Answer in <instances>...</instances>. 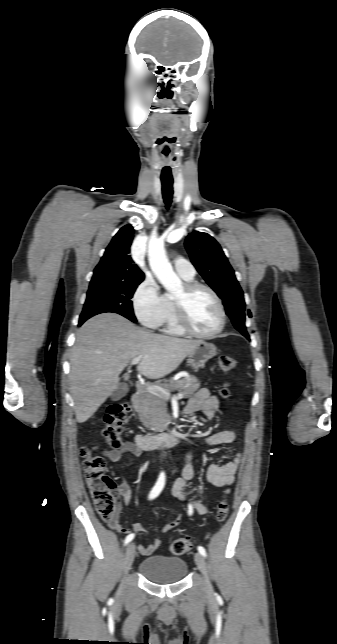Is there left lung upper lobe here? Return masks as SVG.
Returning a JSON list of instances; mask_svg holds the SVG:
<instances>
[{
    "instance_id": "obj_1",
    "label": "left lung upper lobe",
    "mask_w": 337,
    "mask_h": 644,
    "mask_svg": "<svg viewBox=\"0 0 337 644\" xmlns=\"http://www.w3.org/2000/svg\"><path fill=\"white\" fill-rule=\"evenodd\" d=\"M185 247L197 271L223 300L235 328L249 339L243 291L220 245L209 234L195 231L187 236ZM248 316L251 317L250 311Z\"/></svg>"
}]
</instances>
